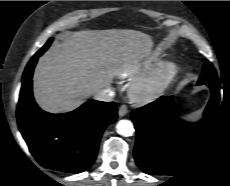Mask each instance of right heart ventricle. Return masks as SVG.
Wrapping results in <instances>:
<instances>
[{
    "instance_id": "1",
    "label": "right heart ventricle",
    "mask_w": 230,
    "mask_h": 186,
    "mask_svg": "<svg viewBox=\"0 0 230 186\" xmlns=\"http://www.w3.org/2000/svg\"><path fill=\"white\" fill-rule=\"evenodd\" d=\"M134 73H135V70L126 69V70L121 72V77L122 78H127V77H130V76L134 75Z\"/></svg>"
}]
</instances>
